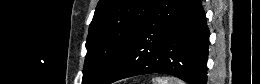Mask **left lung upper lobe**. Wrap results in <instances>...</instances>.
I'll use <instances>...</instances> for the list:
<instances>
[{"label": "left lung upper lobe", "mask_w": 260, "mask_h": 84, "mask_svg": "<svg viewBox=\"0 0 260 84\" xmlns=\"http://www.w3.org/2000/svg\"><path fill=\"white\" fill-rule=\"evenodd\" d=\"M157 0H100L89 27L82 84H102Z\"/></svg>", "instance_id": "5c2ea615"}]
</instances>
